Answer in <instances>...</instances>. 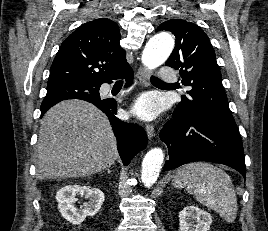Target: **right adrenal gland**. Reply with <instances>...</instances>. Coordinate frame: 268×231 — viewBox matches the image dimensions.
<instances>
[{"label":"right adrenal gland","mask_w":268,"mask_h":231,"mask_svg":"<svg viewBox=\"0 0 268 231\" xmlns=\"http://www.w3.org/2000/svg\"><path fill=\"white\" fill-rule=\"evenodd\" d=\"M110 167H111V166L107 167L105 170H103V172H104V171H107L108 174H111Z\"/></svg>","instance_id":"2a0ac1e0"}]
</instances>
